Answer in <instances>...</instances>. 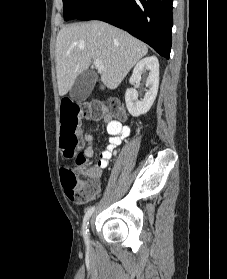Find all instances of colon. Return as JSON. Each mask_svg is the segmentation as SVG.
Listing matches in <instances>:
<instances>
[{"label":"colon","mask_w":227,"mask_h":279,"mask_svg":"<svg viewBox=\"0 0 227 279\" xmlns=\"http://www.w3.org/2000/svg\"><path fill=\"white\" fill-rule=\"evenodd\" d=\"M107 109L116 118L122 115L117 101L110 102ZM104 110L101 105H80L72 101L63 102L61 105L60 151L66 159L74 158L76 163V167L62 171V184L65 191L79 204H83L96 193L97 184L94 179L87 180L79 168L87 162V157L84 153H76L80 144L77 125L81 118L95 119L103 116Z\"/></svg>","instance_id":"colon-1"}]
</instances>
